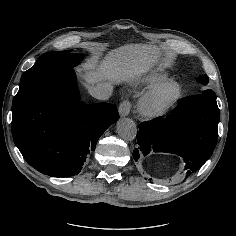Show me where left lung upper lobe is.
Masks as SVG:
<instances>
[{
    "instance_id": "left-lung-upper-lobe-1",
    "label": "left lung upper lobe",
    "mask_w": 236,
    "mask_h": 236,
    "mask_svg": "<svg viewBox=\"0 0 236 236\" xmlns=\"http://www.w3.org/2000/svg\"><path fill=\"white\" fill-rule=\"evenodd\" d=\"M198 81L202 85H206L208 83V76L207 75H202L199 76ZM202 94L210 95V96H216L215 93L212 90H205L202 92Z\"/></svg>"
}]
</instances>
